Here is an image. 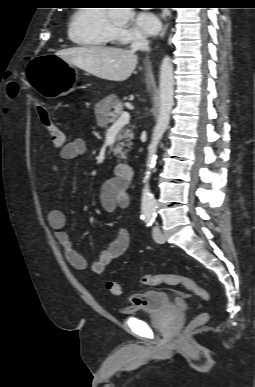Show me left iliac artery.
<instances>
[{
  "mask_svg": "<svg viewBox=\"0 0 255 387\" xmlns=\"http://www.w3.org/2000/svg\"><path fill=\"white\" fill-rule=\"evenodd\" d=\"M153 221H154L153 219H148L147 226L150 227L152 225Z\"/></svg>",
  "mask_w": 255,
  "mask_h": 387,
  "instance_id": "left-iliac-artery-1",
  "label": "left iliac artery"
}]
</instances>
